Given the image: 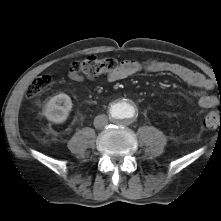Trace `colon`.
Returning <instances> with one entry per match:
<instances>
[{"label":"colon","instance_id":"obj_1","mask_svg":"<svg viewBox=\"0 0 221 221\" xmlns=\"http://www.w3.org/2000/svg\"><path fill=\"white\" fill-rule=\"evenodd\" d=\"M121 62L115 58L90 56L72 63V70L88 78L94 79L100 76L111 75L119 69ZM49 76L36 78L27 89L28 97H36L51 85ZM203 126L207 129L221 127V110H213L206 113L203 118Z\"/></svg>","mask_w":221,"mask_h":221}]
</instances>
